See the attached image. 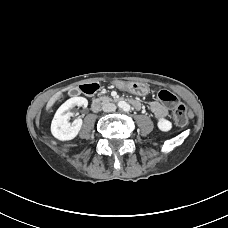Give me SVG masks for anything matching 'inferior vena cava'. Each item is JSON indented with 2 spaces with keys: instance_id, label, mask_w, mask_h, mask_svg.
I'll list each match as a JSON object with an SVG mask.
<instances>
[{
  "instance_id": "1",
  "label": "inferior vena cava",
  "mask_w": 228,
  "mask_h": 228,
  "mask_svg": "<svg viewBox=\"0 0 228 228\" xmlns=\"http://www.w3.org/2000/svg\"><path fill=\"white\" fill-rule=\"evenodd\" d=\"M102 110L104 112H113L116 110V105L113 104V103H105L103 106H102Z\"/></svg>"
}]
</instances>
